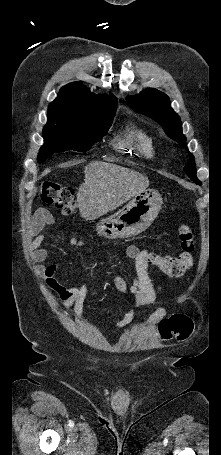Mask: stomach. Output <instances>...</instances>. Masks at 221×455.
Segmentation results:
<instances>
[{
    "label": "stomach",
    "instance_id": "obj_1",
    "mask_svg": "<svg viewBox=\"0 0 221 455\" xmlns=\"http://www.w3.org/2000/svg\"><path fill=\"white\" fill-rule=\"evenodd\" d=\"M162 203V196L157 190L145 189L118 212L95 223V231L107 239L136 236L152 224Z\"/></svg>",
    "mask_w": 221,
    "mask_h": 455
}]
</instances>
